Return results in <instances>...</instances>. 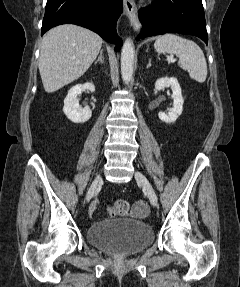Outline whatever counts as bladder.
<instances>
[{
	"mask_svg": "<svg viewBox=\"0 0 240 287\" xmlns=\"http://www.w3.org/2000/svg\"><path fill=\"white\" fill-rule=\"evenodd\" d=\"M151 226L133 219H113L93 224L87 231V240L95 247L117 255L140 252L153 242Z\"/></svg>",
	"mask_w": 240,
	"mask_h": 287,
	"instance_id": "obj_1",
	"label": "bladder"
}]
</instances>
